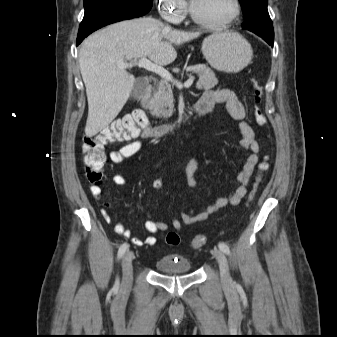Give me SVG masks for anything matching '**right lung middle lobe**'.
I'll return each mask as SVG.
<instances>
[{
	"instance_id": "1",
	"label": "right lung middle lobe",
	"mask_w": 337,
	"mask_h": 337,
	"mask_svg": "<svg viewBox=\"0 0 337 337\" xmlns=\"http://www.w3.org/2000/svg\"><path fill=\"white\" fill-rule=\"evenodd\" d=\"M95 1V0H84V7L88 5L90 2ZM135 3H140V4H149L151 3V0H129Z\"/></svg>"
}]
</instances>
